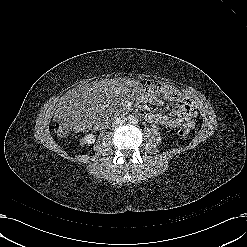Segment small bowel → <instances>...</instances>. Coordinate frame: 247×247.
<instances>
[{
	"mask_svg": "<svg viewBox=\"0 0 247 247\" xmlns=\"http://www.w3.org/2000/svg\"><path fill=\"white\" fill-rule=\"evenodd\" d=\"M162 87V92L157 97H149V100L159 106H165L169 103H174L176 107L173 109V115L169 116L163 113H150L147 115V120L150 123L169 127L179 128L189 126L193 128L195 120V109L190 99H188L176 87L159 83Z\"/></svg>",
	"mask_w": 247,
	"mask_h": 247,
	"instance_id": "small-bowel-1",
	"label": "small bowel"
}]
</instances>
